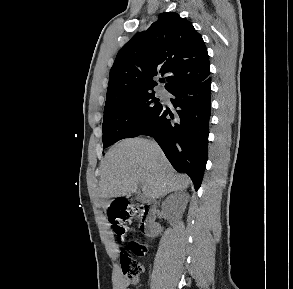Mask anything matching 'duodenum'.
Here are the masks:
<instances>
[{
    "label": "duodenum",
    "instance_id": "410a0bca",
    "mask_svg": "<svg viewBox=\"0 0 293 289\" xmlns=\"http://www.w3.org/2000/svg\"><path fill=\"white\" fill-rule=\"evenodd\" d=\"M141 218L139 221V228L141 232L147 237H151L153 234V224L155 219L156 207L151 203L139 204Z\"/></svg>",
    "mask_w": 293,
    "mask_h": 289
}]
</instances>
